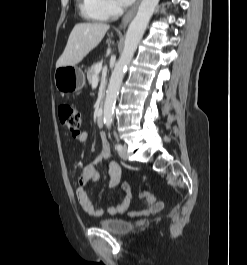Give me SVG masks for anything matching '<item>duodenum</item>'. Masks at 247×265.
<instances>
[{
	"label": "duodenum",
	"instance_id": "1",
	"mask_svg": "<svg viewBox=\"0 0 247 265\" xmlns=\"http://www.w3.org/2000/svg\"><path fill=\"white\" fill-rule=\"evenodd\" d=\"M97 124L98 126H103L104 125V114L103 112H100L97 116Z\"/></svg>",
	"mask_w": 247,
	"mask_h": 265
}]
</instances>
